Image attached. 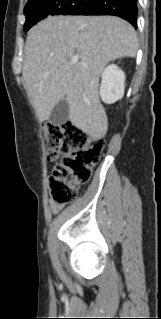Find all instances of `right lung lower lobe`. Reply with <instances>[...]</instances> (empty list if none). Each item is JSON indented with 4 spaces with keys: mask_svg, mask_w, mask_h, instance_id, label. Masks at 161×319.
<instances>
[{
    "mask_svg": "<svg viewBox=\"0 0 161 319\" xmlns=\"http://www.w3.org/2000/svg\"><path fill=\"white\" fill-rule=\"evenodd\" d=\"M71 15H114L136 27L137 0H87Z\"/></svg>",
    "mask_w": 161,
    "mask_h": 319,
    "instance_id": "right-lung-lower-lobe-1",
    "label": "right lung lower lobe"
}]
</instances>
